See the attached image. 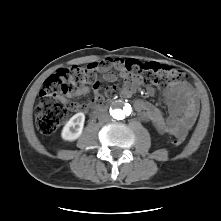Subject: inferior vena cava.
<instances>
[{
    "mask_svg": "<svg viewBox=\"0 0 221 221\" xmlns=\"http://www.w3.org/2000/svg\"><path fill=\"white\" fill-rule=\"evenodd\" d=\"M99 120L100 121H104V122H107L110 120V116L107 112H102L100 115H99Z\"/></svg>",
    "mask_w": 221,
    "mask_h": 221,
    "instance_id": "602c4592",
    "label": "inferior vena cava"
}]
</instances>
